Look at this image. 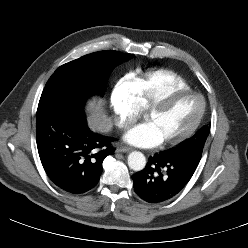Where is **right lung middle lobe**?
Masks as SVG:
<instances>
[{
    "label": "right lung middle lobe",
    "instance_id": "1",
    "mask_svg": "<svg viewBox=\"0 0 248 248\" xmlns=\"http://www.w3.org/2000/svg\"><path fill=\"white\" fill-rule=\"evenodd\" d=\"M133 56L99 51L60 66L46 83L38 107L50 104L83 107L88 97L104 95L113 68Z\"/></svg>",
    "mask_w": 248,
    "mask_h": 248
}]
</instances>
